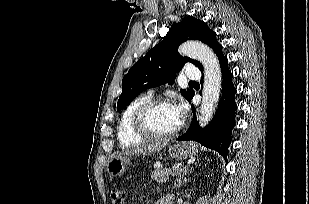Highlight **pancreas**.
Segmentation results:
<instances>
[{
  "mask_svg": "<svg viewBox=\"0 0 309 204\" xmlns=\"http://www.w3.org/2000/svg\"><path fill=\"white\" fill-rule=\"evenodd\" d=\"M175 170L168 168H160L154 166V171L152 172L151 178L158 183L166 182L170 175L173 174Z\"/></svg>",
  "mask_w": 309,
  "mask_h": 204,
  "instance_id": "cf45deb5",
  "label": "pancreas"
}]
</instances>
